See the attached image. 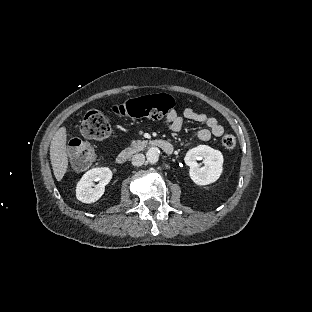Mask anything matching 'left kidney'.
<instances>
[{
    "label": "left kidney",
    "instance_id": "obj_1",
    "mask_svg": "<svg viewBox=\"0 0 312 312\" xmlns=\"http://www.w3.org/2000/svg\"><path fill=\"white\" fill-rule=\"evenodd\" d=\"M203 159L201 167L197 160ZM186 165L190 167V178L197 185H208L215 182L222 173L223 155L207 145H199L190 149L184 158Z\"/></svg>",
    "mask_w": 312,
    "mask_h": 312
}]
</instances>
